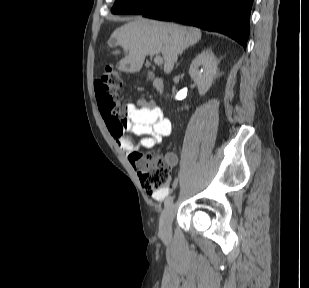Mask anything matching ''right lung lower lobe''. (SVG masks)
Masks as SVG:
<instances>
[{
	"label": "right lung lower lobe",
	"mask_w": 309,
	"mask_h": 288,
	"mask_svg": "<svg viewBox=\"0 0 309 288\" xmlns=\"http://www.w3.org/2000/svg\"><path fill=\"white\" fill-rule=\"evenodd\" d=\"M252 4L253 0H165L142 15L220 32L246 49Z\"/></svg>",
	"instance_id": "obj_1"
}]
</instances>
